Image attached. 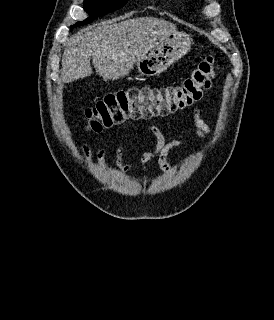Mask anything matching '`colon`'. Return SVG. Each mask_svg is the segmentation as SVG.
<instances>
[{
  "instance_id": "obj_1",
  "label": "colon",
  "mask_w": 274,
  "mask_h": 320,
  "mask_svg": "<svg viewBox=\"0 0 274 320\" xmlns=\"http://www.w3.org/2000/svg\"><path fill=\"white\" fill-rule=\"evenodd\" d=\"M218 70L214 56L205 57L179 85L131 87L106 94L87 107L84 117L94 132L127 120L164 116L202 99Z\"/></svg>"
}]
</instances>
